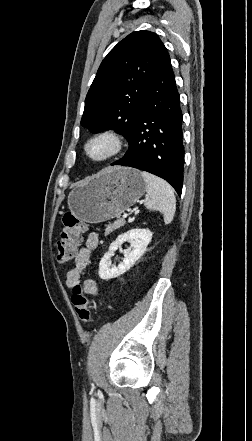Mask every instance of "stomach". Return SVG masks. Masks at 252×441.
<instances>
[{
  "label": "stomach",
  "mask_w": 252,
  "mask_h": 441,
  "mask_svg": "<svg viewBox=\"0 0 252 441\" xmlns=\"http://www.w3.org/2000/svg\"><path fill=\"white\" fill-rule=\"evenodd\" d=\"M145 190L146 182L139 170L110 167L75 187L68 196V205L79 220L101 223L119 217Z\"/></svg>",
  "instance_id": "1"
}]
</instances>
